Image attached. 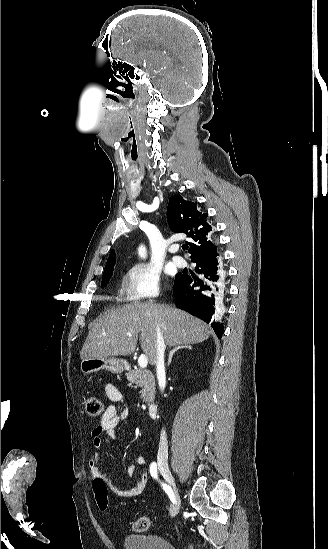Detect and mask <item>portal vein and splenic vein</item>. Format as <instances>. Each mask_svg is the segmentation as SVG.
Instances as JSON below:
<instances>
[{"mask_svg":"<svg viewBox=\"0 0 328 549\" xmlns=\"http://www.w3.org/2000/svg\"><path fill=\"white\" fill-rule=\"evenodd\" d=\"M128 337H132L131 333H128ZM138 365H139V367H141V369H146V367L148 365V359H147L146 355H140V357L138 359Z\"/></svg>","mask_w":328,"mask_h":549,"instance_id":"18ae733b","label":"portal vein and splenic vein"}]
</instances>
